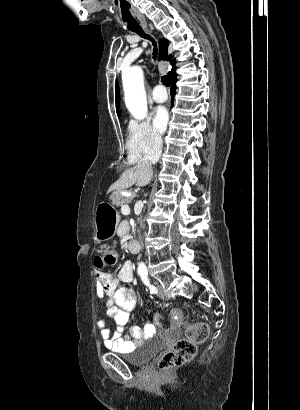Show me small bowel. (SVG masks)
<instances>
[{"label": "small bowel", "mask_w": 300, "mask_h": 410, "mask_svg": "<svg viewBox=\"0 0 300 410\" xmlns=\"http://www.w3.org/2000/svg\"><path fill=\"white\" fill-rule=\"evenodd\" d=\"M96 293L100 299L106 298L108 317L115 322L111 331L104 320L99 321V334L107 348L115 351H129L143 341L153 337L158 331L157 323H148L144 327L132 326L128 335H123L125 327L137 303L135 291L130 286L133 280L132 265L126 262L117 277L104 271H96Z\"/></svg>", "instance_id": "obj_1"}]
</instances>
